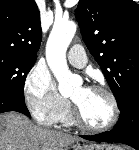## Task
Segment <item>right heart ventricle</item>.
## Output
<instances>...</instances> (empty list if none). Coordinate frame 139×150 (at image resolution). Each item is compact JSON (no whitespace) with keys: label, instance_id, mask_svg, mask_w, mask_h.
Segmentation results:
<instances>
[{"label":"right heart ventricle","instance_id":"right-heart-ventricle-1","mask_svg":"<svg viewBox=\"0 0 139 150\" xmlns=\"http://www.w3.org/2000/svg\"><path fill=\"white\" fill-rule=\"evenodd\" d=\"M61 121L64 125L66 126H71L74 124V121L72 119V114L70 112V109H68L64 115L61 117V119L59 120Z\"/></svg>","mask_w":139,"mask_h":150}]
</instances>
